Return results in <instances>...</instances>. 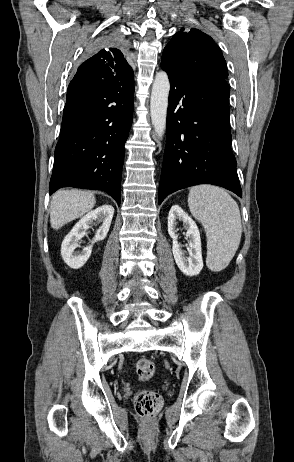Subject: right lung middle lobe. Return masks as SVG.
Listing matches in <instances>:
<instances>
[{
  "mask_svg": "<svg viewBox=\"0 0 294 462\" xmlns=\"http://www.w3.org/2000/svg\"><path fill=\"white\" fill-rule=\"evenodd\" d=\"M122 45H123V39L121 35L117 31L112 30V31L106 32L105 34L97 38L92 43L89 50L90 52L95 53L99 51V49L102 47H105V48L110 47V46L120 47Z\"/></svg>",
  "mask_w": 294,
  "mask_h": 462,
  "instance_id": "dd1d6c3e",
  "label": "right lung middle lobe"
}]
</instances>
